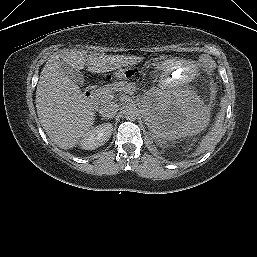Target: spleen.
<instances>
[{
	"label": "spleen",
	"mask_w": 257,
	"mask_h": 257,
	"mask_svg": "<svg viewBox=\"0 0 257 257\" xmlns=\"http://www.w3.org/2000/svg\"><path fill=\"white\" fill-rule=\"evenodd\" d=\"M220 106H221V109L216 115L214 124L211 126L207 134L201 139L195 152L192 153L190 157L195 158L196 156H199L200 154H203L206 151L211 150L213 148L214 143L220 138L223 122H224V116H225V107H226V103L224 99L221 100Z\"/></svg>",
	"instance_id": "obj_1"
}]
</instances>
